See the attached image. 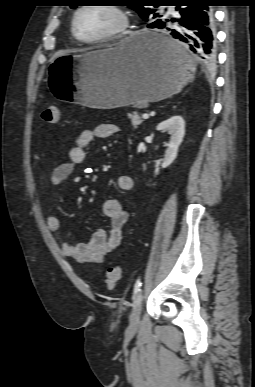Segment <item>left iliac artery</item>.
<instances>
[{
	"mask_svg": "<svg viewBox=\"0 0 255 387\" xmlns=\"http://www.w3.org/2000/svg\"><path fill=\"white\" fill-rule=\"evenodd\" d=\"M141 281L138 279L134 285V294H137L141 290Z\"/></svg>",
	"mask_w": 255,
	"mask_h": 387,
	"instance_id": "1",
	"label": "left iliac artery"
}]
</instances>
